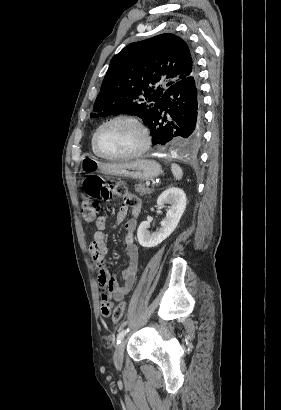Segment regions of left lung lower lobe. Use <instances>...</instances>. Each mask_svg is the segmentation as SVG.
<instances>
[{"label": "left lung lower lobe", "mask_w": 281, "mask_h": 410, "mask_svg": "<svg viewBox=\"0 0 281 410\" xmlns=\"http://www.w3.org/2000/svg\"><path fill=\"white\" fill-rule=\"evenodd\" d=\"M202 121V100L195 72L168 87L144 123L150 129L154 145H165L174 139L182 147H192L202 138Z\"/></svg>", "instance_id": "0a47b994"}]
</instances>
